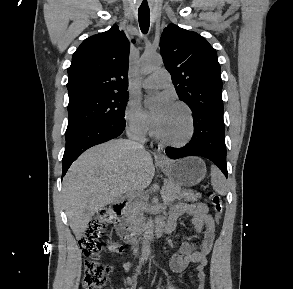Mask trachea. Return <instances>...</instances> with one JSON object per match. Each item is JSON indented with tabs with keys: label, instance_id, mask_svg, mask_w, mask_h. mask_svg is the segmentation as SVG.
Here are the masks:
<instances>
[{
	"label": "trachea",
	"instance_id": "1",
	"mask_svg": "<svg viewBox=\"0 0 293 289\" xmlns=\"http://www.w3.org/2000/svg\"><path fill=\"white\" fill-rule=\"evenodd\" d=\"M138 20L141 31L146 34L149 30L150 25V10L139 8L138 9Z\"/></svg>",
	"mask_w": 293,
	"mask_h": 289
}]
</instances>
